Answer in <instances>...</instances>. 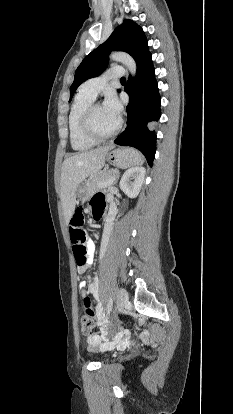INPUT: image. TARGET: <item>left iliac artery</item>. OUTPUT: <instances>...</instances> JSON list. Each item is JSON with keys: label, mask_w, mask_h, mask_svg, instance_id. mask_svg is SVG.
<instances>
[{"label": "left iliac artery", "mask_w": 233, "mask_h": 414, "mask_svg": "<svg viewBox=\"0 0 233 414\" xmlns=\"http://www.w3.org/2000/svg\"><path fill=\"white\" fill-rule=\"evenodd\" d=\"M112 306H113V299L110 298L108 305H107V313L109 314L112 310ZM96 311H97V316L98 319H101V315H102V307H101V303L98 304V306L96 307Z\"/></svg>", "instance_id": "obj_1"}]
</instances>
